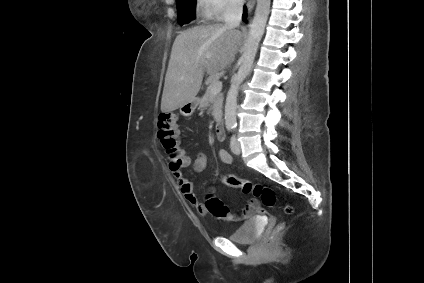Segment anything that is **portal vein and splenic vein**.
<instances>
[{
	"instance_id": "18ae733b",
	"label": "portal vein and splenic vein",
	"mask_w": 424,
	"mask_h": 283,
	"mask_svg": "<svg viewBox=\"0 0 424 283\" xmlns=\"http://www.w3.org/2000/svg\"><path fill=\"white\" fill-rule=\"evenodd\" d=\"M221 89H222V82L219 79L214 81L212 85L210 86V90L213 95L220 93Z\"/></svg>"
}]
</instances>
